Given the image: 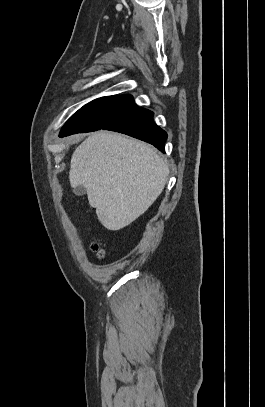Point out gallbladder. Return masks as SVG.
I'll return each instance as SVG.
<instances>
[{"label": "gallbladder", "instance_id": "gallbladder-1", "mask_svg": "<svg viewBox=\"0 0 265 407\" xmlns=\"http://www.w3.org/2000/svg\"><path fill=\"white\" fill-rule=\"evenodd\" d=\"M73 192L77 196H83L86 193V189L84 186L80 185V186L74 187Z\"/></svg>", "mask_w": 265, "mask_h": 407}]
</instances>
